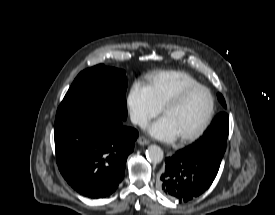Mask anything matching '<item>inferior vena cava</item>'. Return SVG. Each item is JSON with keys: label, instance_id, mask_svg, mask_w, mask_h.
I'll use <instances>...</instances> for the list:
<instances>
[{"label": "inferior vena cava", "instance_id": "602c4592", "mask_svg": "<svg viewBox=\"0 0 275 215\" xmlns=\"http://www.w3.org/2000/svg\"><path fill=\"white\" fill-rule=\"evenodd\" d=\"M131 121L132 123L139 125L144 124L145 122L144 118L138 115H131Z\"/></svg>", "mask_w": 275, "mask_h": 215}]
</instances>
